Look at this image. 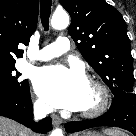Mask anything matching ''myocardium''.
I'll return each instance as SVG.
<instances>
[{"label": "myocardium", "instance_id": "1", "mask_svg": "<svg viewBox=\"0 0 136 136\" xmlns=\"http://www.w3.org/2000/svg\"><path fill=\"white\" fill-rule=\"evenodd\" d=\"M89 84L95 89L97 93L96 104L88 109L81 110L80 115L87 118L97 117L104 113L109 106L110 95L106 86L96 79H90Z\"/></svg>", "mask_w": 136, "mask_h": 136}]
</instances>
